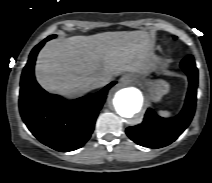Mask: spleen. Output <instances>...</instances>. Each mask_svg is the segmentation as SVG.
Wrapping results in <instances>:
<instances>
[{"label": "spleen", "instance_id": "1", "mask_svg": "<svg viewBox=\"0 0 212 183\" xmlns=\"http://www.w3.org/2000/svg\"><path fill=\"white\" fill-rule=\"evenodd\" d=\"M159 113L163 116H169L170 115V113L168 111H160Z\"/></svg>", "mask_w": 212, "mask_h": 183}]
</instances>
